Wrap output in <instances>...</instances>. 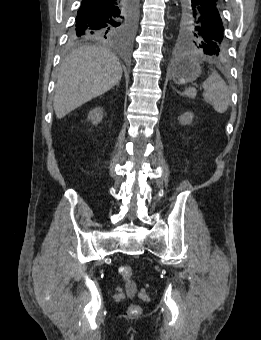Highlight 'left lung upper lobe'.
I'll list each match as a JSON object with an SVG mask.
<instances>
[{"label":"left lung upper lobe","instance_id":"obj_1","mask_svg":"<svg viewBox=\"0 0 261 340\" xmlns=\"http://www.w3.org/2000/svg\"><path fill=\"white\" fill-rule=\"evenodd\" d=\"M176 42L181 47L196 48L208 56L225 60L228 44L222 9L215 17L204 18L192 7L191 0H179Z\"/></svg>","mask_w":261,"mask_h":340}]
</instances>
